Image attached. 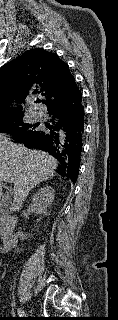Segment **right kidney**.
<instances>
[{
    "mask_svg": "<svg viewBox=\"0 0 118 320\" xmlns=\"http://www.w3.org/2000/svg\"><path fill=\"white\" fill-rule=\"evenodd\" d=\"M55 190L48 185L42 187L32 199V202L27 210L28 213H35L38 215H47V208L54 200ZM19 237H23L22 232L17 233Z\"/></svg>",
    "mask_w": 118,
    "mask_h": 320,
    "instance_id": "1",
    "label": "right kidney"
}]
</instances>
